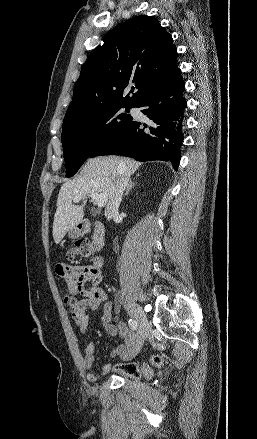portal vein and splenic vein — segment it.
I'll use <instances>...</instances> for the list:
<instances>
[{"label": "portal vein and splenic vein", "mask_w": 257, "mask_h": 439, "mask_svg": "<svg viewBox=\"0 0 257 439\" xmlns=\"http://www.w3.org/2000/svg\"><path fill=\"white\" fill-rule=\"evenodd\" d=\"M92 200L97 204V206L99 208L104 207L105 204L108 201L107 195L106 194H98V193H91L90 194ZM81 200V196L77 195L74 199L73 202L78 203Z\"/></svg>", "instance_id": "portal-vein-and-splenic-vein-1"}]
</instances>
